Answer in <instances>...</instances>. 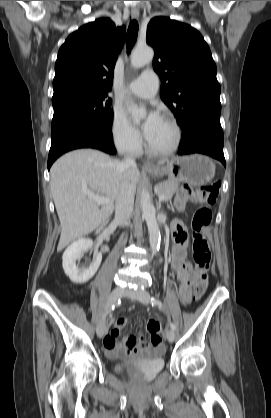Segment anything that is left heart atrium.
<instances>
[{
	"label": "left heart atrium",
	"instance_id": "39dd6f15",
	"mask_svg": "<svg viewBox=\"0 0 271 418\" xmlns=\"http://www.w3.org/2000/svg\"><path fill=\"white\" fill-rule=\"evenodd\" d=\"M161 119H162V117L155 110H151L148 113L145 121L142 124V130H143V133H144V135L147 139H149L152 136L155 129L159 125Z\"/></svg>",
	"mask_w": 271,
	"mask_h": 418
}]
</instances>
